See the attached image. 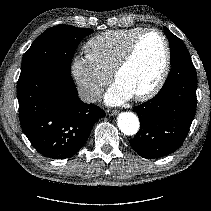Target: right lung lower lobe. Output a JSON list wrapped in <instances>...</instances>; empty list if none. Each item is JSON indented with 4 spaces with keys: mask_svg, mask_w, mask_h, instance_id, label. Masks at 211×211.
<instances>
[{
    "mask_svg": "<svg viewBox=\"0 0 211 211\" xmlns=\"http://www.w3.org/2000/svg\"><path fill=\"white\" fill-rule=\"evenodd\" d=\"M17 97L22 130L33 147L48 158L75 155L94 123L105 116L98 106L81 102L71 73L54 67L20 76Z\"/></svg>",
    "mask_w": 211,
    "mask_h": 211,
    "instance_id": "right-lung-lower-lobe-1",
    "label": "right lung lower lobe"
}]
</instances>
